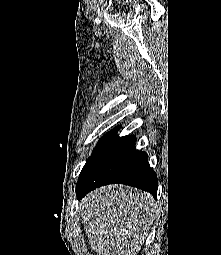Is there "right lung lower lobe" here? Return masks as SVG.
<instances>
[{
    "label": "right lung lower lobe",
    "instance_id": "1",
    "mask_svg": "<svg viewBox=\"0 0 221 255\" xmlns=\"http://www.w3.org/2000/svg\"><path fill=\"white\" fill-rule=\"evenodd\" d=\"M118 129L103 136L88 158L78 179V198L97 187L114 183L140 188L156 198L158 179L148 164L147 153L135 149L134 136H116Z\"/></svg>",
    "mask_w": 221,
    "mask_h": 255
}]
</instances>
